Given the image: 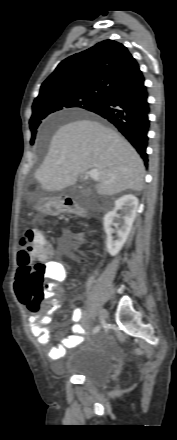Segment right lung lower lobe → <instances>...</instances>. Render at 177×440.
I'll return each instance as SVG.
<instances>
[{
  "instance_id": "1",
  "label": "right lung lower lobe",
  "mask_w": 177,
  "mask_h": 440,
  "mask_svg": "<svg viewBox=\"0 0 177 440\" xmlns=\"http://www.w3.org/2000/svg\"><path fill=\"white\" fill-rule=\"evenodd\" d=\"M147 98L144 76L140 71L106 93L100 101L87 109L113 123L134 146L146 166L148 162L147 134L150 126V108Z\"/></svg>"
}]
</instances>
